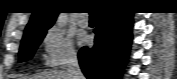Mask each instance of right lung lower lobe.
I'll use <instances>...</instances> for the list:
<instances>
[{
  "label": "right lung lower lobe",
  "mask_w": 177,
  "mask_h": 79,
  "mask_svg": "<svg viewBox=\"0 0 177 79\" xmlns=\"http://www.w3.org/2000/svg\"><path fill=\"white\" fill-rule=\"evenodd\" d=\"M133 13L100 11L94 32L95 45L78 54L81 69L88 79H119L132 41Z\"/></svg>",
  "instance_id": "obj_1"
}]
</instances>
